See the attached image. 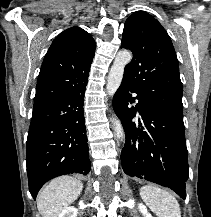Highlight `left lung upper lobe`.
<instances>
[{
	"instance_id": "5c2ea615",
	"label": "left lung upper lobe",
	"mask_w": 211,
	"mask_h": 217,
	"mask_svg": "<svg viewBox=\"0 0 211 217\" xmlns=\"http://www.w3.org/2000/svg\"><path fill=\"white\" fill-rule=\"evenodd\" d=\"M121 48L133 52L123 79L157 110L183 121L179 64L163 26L150 14L135 12L125 22Z\"/></svg>"
}]
</instances>
